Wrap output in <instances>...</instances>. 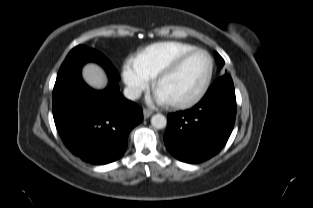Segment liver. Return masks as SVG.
Here are the masks:
<instances>
[{
	"label": "liver",
	"mask_w": 313,
	"mask_h": 208,
	"mask_svg": "<svg viewBox=\"0 0 313 208\" xmlns=\"http://www.w3.org/2000/svg\"><path fill=\"white\" fill-rule=\"evenodd\" d=\"M82 74L85 81L93 88L103 89L106 86L105 73L99 66L92 63L86 64L83 67Z\"/></svg>",
	"instance_id": "obj_1"
}]
</instances>
